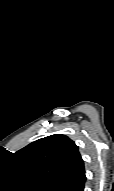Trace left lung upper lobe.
Listing matches in <instances>:
<instances>
[{"mask_svg":"<svg viewBox=\"0 0 114 191\" xmlns=\"http://www.w3.org/2000/svg\"><path fill=\"white\" fill-rule=\"evenodd\" d=\"M14 156L20 171L41 191H67L84 171L78 147L62 134L34 141Z\"/></svg>","mask_w":114,"mask_h":191,"instance_id":"obj_1","label":"left lung upper lobe"}]
</instances>
